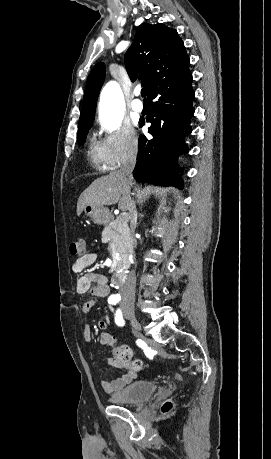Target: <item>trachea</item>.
Listing matches in <instances>:
<instances>
[{
	"instance_id": "1",
	"label": "trachea",
	"mask_w": 271,
	"mask_h": 459,
	"mask_svg": "<svg viewBox=\"0 0 271 459\" xmlns=\"http://www.w3.org/2000/svg\"><path fill=\"white\" fill-rule=\"evenodd\" d=\"M141 95H142V97H146V95H147V89L146 88H142ZM144 100L146 101V99H144Z\"/></svg>"
}]
</instances>
